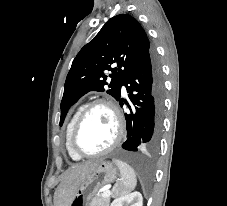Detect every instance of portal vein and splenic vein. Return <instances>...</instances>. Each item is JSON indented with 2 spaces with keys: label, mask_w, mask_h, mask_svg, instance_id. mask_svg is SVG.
<instances>
[{
  "label": "portal vein and splenic vein",
  "mask_w": 227,
  "mask_h": 206,
  "mask_svg": "<svg viewBox=\"0 0 227 206\" xmlns=\"http://www.w3.org/2000/svg\"><path fill=\"white\" fill-rule=\"evenodd\" d=\"M111 194V191L109 189L105 190L102 194L103 197H107Z\"/></svg>",
  "instance_id": "obj_1"
}]
</instances>
